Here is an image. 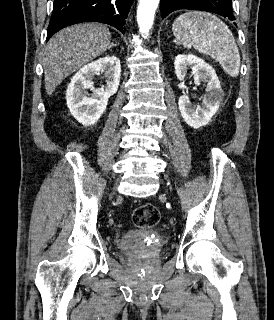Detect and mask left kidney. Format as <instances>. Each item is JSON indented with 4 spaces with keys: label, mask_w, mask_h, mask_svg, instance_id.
Returning a JSON list of instances; mask_svg holds the SVG:
<instances>
[{
    "label": "left kidney",
    "mask_w": 274,
    "mask_h": 320,
    "mask_svg": "<svg viewBox=\"0 0 274 320\" xmlns=\"http://www.w3.org/2000/svg\"><path fill=\"white\" fill-rule=\"evenodd\" d=\"M175 74L180 80L184 82L187 70H192L191 74L194 76V84L199 86L200 82H207V88L204 96H202L203 106L200 108H193L187 94L180 96L178 106L180 114L191 128H202L209 124L212 116L216 114L224 96V92L220 86L217 74L209 64H206L201 58L193 56V54H179L176 56L174 62Z\"/></svg>",
    "instance_id": "1"
}]
</instances>
